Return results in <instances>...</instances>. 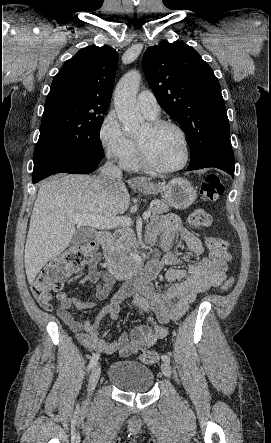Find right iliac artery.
Wrapping results in <instances>:
<instances>
[{"mask_svg": "<svg viewBox=\"0 0 271 443\" xmlns=\"http://www.w3.org/2000/svg\"><path fill=\"white\" fill-rule=\"evenodd\" d=\"M100 355L98 353H94L90 359L88 370H90L98 361Z\"/></svg>", "mask_w": 271, "mask_h": 443, "instance_id": "82829eb1", "label": "right iliac artery"}]
</instances>
